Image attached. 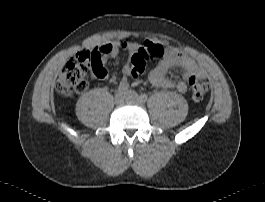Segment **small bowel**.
Instances as JSON below:
<instances>
[{
	"mask_svg": "<svg viewBox=\"0 0 265 202\" xmlns=\"http://www.w3.org/2000/svg\"><path fill=\"white\" fill-rule=\"evenodd\" d=\"M146 43L140 44L130 41H119L116 44H108L102 47H108L109 50L100 52V61L104 64L108 60L114 58L118 50H125L130 53L136 52ZM181 68L182 76L176 82H171L167 76L171 69ZM125 77L121 80L122 83H127V77L131 76L132 66L128 63L124 67ZM95 75L99 78H105L106 74ZM205 76L204 70L195 62L194 59L185 53L175 49L169 48L167 56L161 60L149 74L150 83L157 88H171L175 87L179 92L185 93L188 90L189 82L192 78H203ZM120 82V83H121ZM136 85V82L134 83Z\"/></svg>",
	"mask_w": 265,
	"mask_h": 202,
	"instance_id": "obj_1",
	"label": "small bowel"
}]
</instances>
